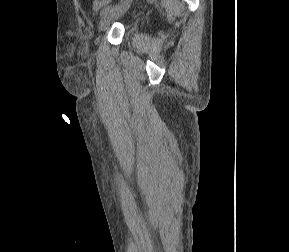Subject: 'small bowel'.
I'll list each match as a JSON object with an SVG mask.
<instances>
[{"label": "small bowel", "instance_id": "1", "mask_svg": "<svg viewBox=\"0 0 289 252\" xmlns=\"http://www.w3.org/2000/svg\"><path fill=\"white\" fill-rule=\"evenodd\" d=\"M111 0H94L92 3V10L99 11L110 2Z\"/></svg>", "mask_w": 289, "mask_h": 252}]
</instances>
